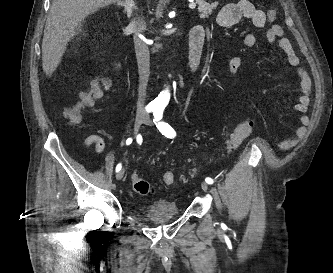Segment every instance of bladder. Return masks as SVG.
Wrapping results in <instances>:
<instances>
[{
  "label": "bladder",
  "mask_w": 333,
  "mask_h": 273,
  "mask_svg": "<svg viewBox=\"0 0 333 273\" xmlns=\"http://www.w3.org/2000/svg\"><path fill=\"white\" fill-rule=\"evenodd\" d=\"M179 215V210L173 202L160 201L148 205L144 214L138 215L137 218L148 221L155 225L166 224Z\"/></svg>",
  "instance_id": "1"
}]
</instances>
